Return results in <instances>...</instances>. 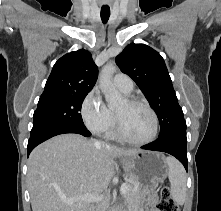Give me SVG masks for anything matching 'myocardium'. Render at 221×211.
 I'll use <instances>...</instances> for the list:
<instances>
[{"label":"myocardium","mask_w":221,"mask_h":211,"mask_svg":"<svg viewBox=\"0 0 221 211\" xmlns=\"http://www.w3.org/2000/svg\"><path fill=\"white\" fill-rule=\"evenodd\" d=\"M126 101L132 105L143 106L144 108H146L149 111V113L151 114L152 119H153V132H152L151 136L145 140L138 141V140L131 139L124 132L121 122H120L117 114L115 113L116 132H117L118 137L121 140H123L124 142L132 144V145H136V146H143V145L150 144L151 142H153L156 139V137L158 135V130H159V121H158V116H157L155 110L146 101L136 98V97H128V98H126Z\"/></svg>","instance_id":"myocardium-1"}]
</instances>
